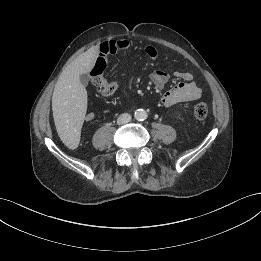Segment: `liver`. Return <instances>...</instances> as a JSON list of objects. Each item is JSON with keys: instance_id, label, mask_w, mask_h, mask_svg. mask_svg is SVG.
Masks as SVG:
<instances>
[{"instance_id": "obj_1", "label": "liver", "mask_w": 261, "mask_h": 261, "mask_svg": "<svg viewBox=\"0 0 261 261\" xmlns=\"http://www.w3.org/2000/svg\"><path fill=\"white\" fill-rule=\"evenodd\" d=\"M98 55V47L84 52L65 67L55 85L52 110L62 140L79 132L87 110V90L80 82V75L92 70Z\"/></svg>"}]
</instances>
